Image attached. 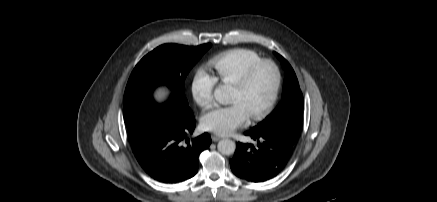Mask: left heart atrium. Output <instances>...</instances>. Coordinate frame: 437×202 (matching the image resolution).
<instances>
[{
    "label": "left heart atrium",
    "instance_id": "39dd6f15",
    "mask_svg": "<svg viewBox=\"0 0 437 202\" xmlns=\"http://www.w3.org/2000/svg\"><path fill=\"white\" fill-rule=\"evenodd\" d=\"M249 115L240 102L218 107L202 117V127L219 135H228L248 121Z\"/></svg>",
    "mask_w": 437,
    "mask_h": 202
}]
</instances>
